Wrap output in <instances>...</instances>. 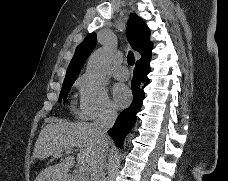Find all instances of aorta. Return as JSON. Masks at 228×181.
I'll return each mask as SVG.
<instances>
[{
	"mask_svg": "<svg viewBox=\"0 0 228 181\" xmlns=\"http://www.w3.org/2000/svg\"><path fill=\"white\" fill-rule=\"evenodd\" d=\"M111 49L107 46L94 51L87 63L86 72L95 82L102 84L105 81L108 67L111 62Z\"/></svg>",
	"mask_w": 228,
	"mask_h": 181,
	"instance_id": "obj_1",
	"label": "aorta"
}]
</instances>
